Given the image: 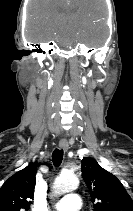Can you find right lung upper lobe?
Listing matches in <instances>:
<instances>
[{
	"instance_id": "obj_1",
	"label": "right lung upper lobe",
	"mask_w": 133,
	"mask_h": 211,
	"mask_svg": "<svg viewBox=\"0 0 133 211\" xmlns=\"http://www.w3.org/2000/svg\"><path fill=\"white\" fill-rule=\"evenodd\" d=\"M36 183V167L27 166L0 188V211H28Z\"/></svg>"
}]
</instances>
